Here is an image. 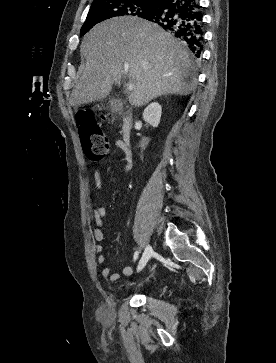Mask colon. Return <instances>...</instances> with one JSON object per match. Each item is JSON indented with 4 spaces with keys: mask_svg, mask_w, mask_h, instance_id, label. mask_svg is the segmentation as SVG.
Wrapping results in <instances>:
<instances>
[{
    "mask_svg": "<svg viewBox=\"0 0 276 363\" xmlns=\"http://www.w3.org/2000/svg\"><path fill=\"white\" fill-rule=\"evenodd\" d=\"M109 120L110 117H103ZM80 126L81 141L85 155L93 161L105 156L109 149V141L95 116L90 112H82L77 117Z\"/></svg>",
    "mask_w": 276,
    "mask_h": 363,
    "instance_id": "colon-1",
    "label": "colon"
}]
</instances>
